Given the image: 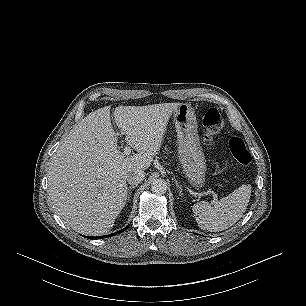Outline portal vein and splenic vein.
<instances>
[{"label": "portal vein and splenic vein", "mask_w": 306, "mask_h": 306, "mask_svg": "<svg viewBox=\"0 0 306 306\" xmlns=\"http://www.w3.org/2000/svg\"><path fill=\"white\" fill-rule=\"evenodd\" d=\"M122 133H123V130H122ZM123 153H124V155H130V153H131L130 147H127V146H126V147L124 148ZM212 195H213V197H214L213 202H214V203H217V196H216V194L212 192Z\"/></svg>", "instance_id": "1"}]
</instances>
